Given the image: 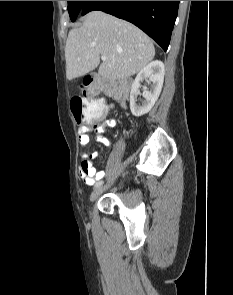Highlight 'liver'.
Wrapping results in <instances>:
<instances>
[{
  "instance_id": "obj_1",
  "label": "liver",
  "mask_w": 233,
  "mask_h": 295,
  "mask_svg": "<svg viewBox=\"0 0 233 295\" xmlns=\"http://www.w3.org/2000/svg\"><path fill=\"white\" fill-rule=\"evenodd\" d=\"M107 60L100 64V56ZM155 56L152 40L133 24L101 11L88 13L80 28L70 30L65 46L66 77L84 76L99 66L107 80L140 72Z\"/></svg>"
}]
</instances>
